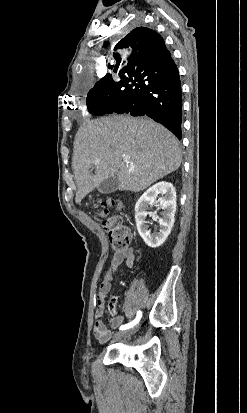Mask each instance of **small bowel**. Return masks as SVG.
I'll list each match as a JSON object with an SVG mask.
<instances>
[{
	"instance_id": "1",
	"label": "small bowel",
	"mask_w": 247,
	"mask_h": 413,
	"mask_svg": "<svg viewBox=\"0 0 247 413\" xmlns=\"http://www.w3.org/2000/svg\"><path fill=\"white\" fill-rule=\"evenodd\" d=\"M122 262H125L128 270H131L134 267L135 253L132 248H127L124 251L114 253L110 264L108 265L102 277L96 299L95 320L93 324V335L101 344L107 343L112 337L111 332L106 328L104 313L108 294L115 279L117 269L122 264ZM117 303L118 298L116 296H113L108 302V309L112 314L110 323L113 328H118L123 323V317L117 315Z\"/></svg>"
}]
</instances>
